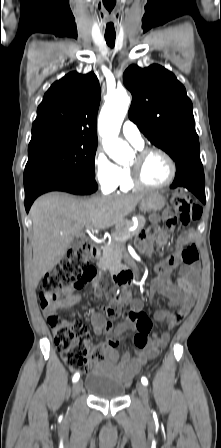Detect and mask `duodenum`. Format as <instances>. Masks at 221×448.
I'll list each match as a JSON object with an SVG mask.
<instances>
[{"label": "duodenum", "mask_w": 221, "mask_h": 448, "mask_svg": "<svg viewBox=\"0 0 221 448\" xmlns=\"http://www.w3.org/2000/svg\"><path fill=\"white\" fill-rule=\"evenodd\" d=\"M102 254V249L100 246H92L90 247V257L92 259H99ZM111 278L117 285H132L133 284V275L129 270H119L112 273Z\"/></svg>", "instance_id": "1"}]
</instances>
